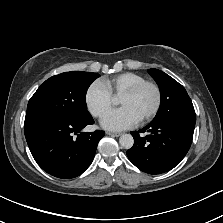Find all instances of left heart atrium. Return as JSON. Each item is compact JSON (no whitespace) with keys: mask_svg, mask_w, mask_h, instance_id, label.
<instances>
[{"mask_svg":"<svg viewBox=\"0 0 223 223\" xmlns=\"http://www.w3.org/2000/svg\"><path fill=\"white\" fill-rule=\"evenodd\" d=\"M139 119L128 107H120L105 114L102 125L111 130H123L134 126Z\"/></svg>","mask_w":223,"mask_h":223,"instance_id":"39dd6f15","label":"left heart atrium"}]
</instances>
